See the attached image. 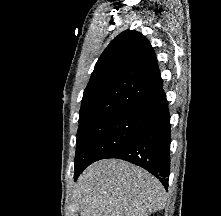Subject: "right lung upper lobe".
<instances>
[{
  "label": "right lung upper lobe",
  "instance_id": "1",
  "mask_svg": "<svg viewBox=\"0 0 221 216\" xmlns=\"http://www.w3.org/2000/svg\"><path fill=\"white\" fill-rule=\"evenodd\" d=\"M164 97L149 41L134 30L124 31L95 65L83 94L79 124L116 112L148 114Z\"/></svg>",
  "mask_w": 221,
  "mask_h": 216
}]
</instances>
